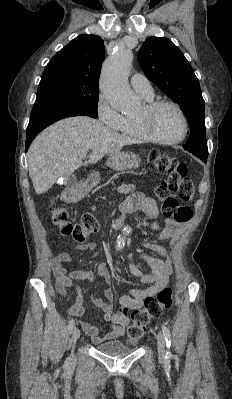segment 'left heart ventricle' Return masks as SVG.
<instances>
[{"instance_id":"b2bd125f","label":"left heart ventricle","mask_w":232,"mask_h":399,"mask_svg":"<svg viewBox=\"0 0 232 399\" xmlns=\"http://www.w3.org/2000/svg\"><path fill=\"white\" fill-rule=\"evenodd\" d=\"M144 114V107L137 117ZM149 125L152 132L166 140L178 139L184 131L183 121L178 111L169 105L159 107L150 117Z\"/></svg>"}]
</instances>
